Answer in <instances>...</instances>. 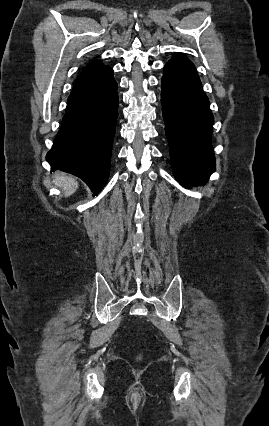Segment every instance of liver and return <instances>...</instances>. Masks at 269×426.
Returning <instances> with one entry per match:
<instances>
[{
    "mask_svg": "<svg viewBox=\"0 0 269 426\" xmlns=\"http://www.w3.org/2000/svg\"><path fill=\"white\" fill-rule=\"evenodd\" d=\"M55 184L64 191L66 197L72 195L78 188V183L72 176L62 172H56L54 175Z\"/></svg>",
    "mask_w": 269,
    "mask_h": 426,
    "instance_id": "obj_1",
    "label": "liver"
}]
</instances>
